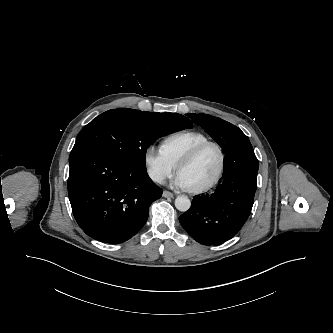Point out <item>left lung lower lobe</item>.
Returning a JSON list of instances; mask_svg holds the SVG:
<instances>
[{"label":"left lung lower lobe","mask_w":333,"mask_h":333,"mask_svg":"<svg viewBox=\"0 0 333 333\" xmlns=\"http://www.w3.org/2000/svg\"><path fill=\"white\" fill-rule=\"evenodd\" d=\"M258 168L249 140L229 150L224 157L223 178L215 192L196 195L191 208L179 217L186 232L203 245L234 237L251 213Z\"/></svg>","instance_id":"obj_1"}]
</instances>
